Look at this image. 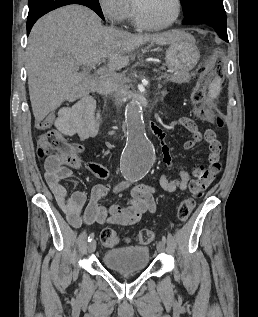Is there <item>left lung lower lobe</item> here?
Instances as JSON below:
<instances>
[{"label":"left lung lower lobe","mask_w":258,"mask_h":317,"mask_svg":"<svg viewBox=\"0 0 258 317\" xmlns=\"http://www.w3.org/2000/svg\"><path fill=\"white\" fill-rule=\"evenodd\" d=\"M197 26L201 27V28H210L213 31H215L220 38H222L225 41H228V36H227V30L226 27H221L217 24L211 23V22H202L199 24H196Z\"/></svg>","instance_id":"left-lung-lower-lobe-1"}]
</instances>
